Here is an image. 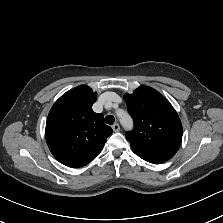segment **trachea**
I'll use <instances>...</instances> for the list:
<instances>
[{
	"label": "trachea",
	"mask_w": 223,
	"mask_h": 223,
	"mask_svg": "<svg viewBox=\"0 0 223 223\" xmlns=\"http://www.w3.org/2000/svg\"><path fill=\"white\" fill-rule=\"evenodd\" d=\"M115 118L112 115H108L105 117V122L109 125L114 124Z\"/></svg>",
	"instance_id": "1"
}]
</instances>
